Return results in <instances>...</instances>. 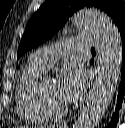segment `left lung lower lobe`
Here are the masks:
<instances>
[{
  "mask_svg": "<svg viewBox=\"0 0 125 128\" xmlns=\"http://www.w3.org/2000/svg\"><path fill=\"white\" fill-rule=\"evenodd\" d=\"M118 31L120 33V37L122 40V76L121 83L119 87V94L117 99L116 112L113 114L111 118V122L108 124L106 128H115V124L118 121V110L121 108L122 100L125 94V21L118 26ZM92 64V61H90Z\"/></svg>",
  "mask_w": 125,
  "mask_h": 128,
  "instance_id": "obj_1",
  "label": "left lung lower lobe"
}]
</instances>
